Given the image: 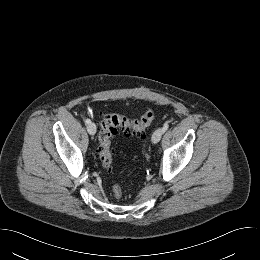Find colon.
Returning a JSON list of instances; mask_svg holds the SVG:
<instances>
[{"instance_id":"1","label":"colon","mask_w":260,"mask_h":260,"mask_svg":"<svg viewBox=\"0 0 260 260\" xmlns=\"http://www.w3.org/2000/svg\"><path fill=\"white\" fill-rule=\"evenodd\" d=\"M154 117L153 111L149 110L139 118H128L126 116L108 113L103 116L98 135L99 145L97 149L98 158L106 170L113 168L112 138L122 132L126 136L141 134L148 127ZM113 195L116 199L122 197V187L119 184L113 185Z\"/></svg>"}]
</instances>
